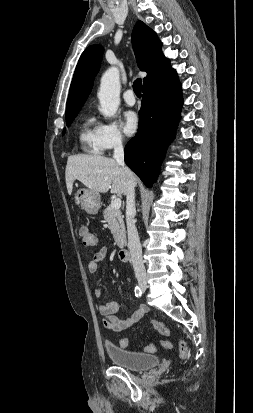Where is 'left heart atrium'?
I'll return each instance as SVG.
<instances>
[{
    "label": "left heart atrium",
    "mask_w": 253,
    "mask_h": 413,
    "mask_svg": "<svg viewBox=\"0 0 253 413\" xmlns=\"http://www.w3.org/2000/svg\"><path fill=\"white\" fill-rule=\"evenodd\" d=\"M121 126L126 135H133L139 127L138 115L134 111L125 112Z\"/></svg>",
    "instance_id": "39dd6f15"
}]
</instances>
